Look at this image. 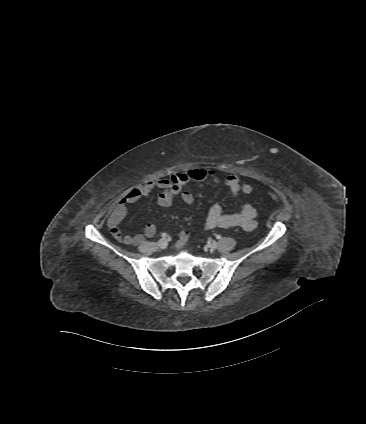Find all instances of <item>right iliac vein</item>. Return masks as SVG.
<instances>
[{"mask_svg": "<svg viewBox=\"0 0 366 424\" xmlns=\"http://www.w3.org/2000/svg\"><path fill=\"white\" fill-rule=\"evenodd\" d=\"M167 245H168V242H167V240H166L165 238H162V239H160V240L158 241V246H159L161 249L166 248V247H167Z\"/></svg>", "mask_w": 366, "mask_h": 424, "instance_id": "obj_1", "label": "right iliac vein"}]
</instances>
